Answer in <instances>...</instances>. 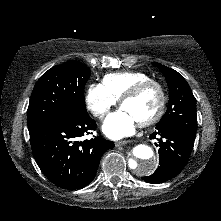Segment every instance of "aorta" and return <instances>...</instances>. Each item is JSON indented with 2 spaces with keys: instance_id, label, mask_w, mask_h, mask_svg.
<instances>
[{
  "instance_id": "1",
  "label": "aorta",
  "mask_w": 221,
  "mask_h": 221,
  "mask_svg": "<svg viewBox=\"0 0 221 221\" xmlns=\"http://www.w3.org/2000/svg\"><path fill=\"white\" fill-rule=\"evenodd\" d=\"M129 160L131 170L138 175H147L155 171L158 163L153 149L145 144H139L132 150Z\"/></svg>"
}]
</instances>
